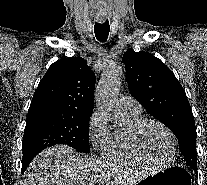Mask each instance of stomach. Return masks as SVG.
Here are the masks:
<instances>
[{
    "mask_svg": "<svg viewBox=\"0 0 207 185\" xmlns=\"http://www.w3.org/2000/svg\"><path fill=\"white\" fill-rule=\"evenodd\" d=\"M138 185H191L190 175L179 165L167 168L147 176Z\"/></svg>",
    "mask_w": 207,
    "mask_h": 185,
    "instance_id": "stomach-1",
    "label": "stomach"
}]
</instances>
